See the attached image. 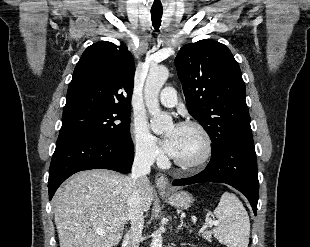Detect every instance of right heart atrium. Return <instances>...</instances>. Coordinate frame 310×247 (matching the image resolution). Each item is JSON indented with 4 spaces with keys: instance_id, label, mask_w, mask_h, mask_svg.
Instances as JSON below:
<instances>
[{
    "instance_id": "1",
    "label": "right heart atrium",
    "mask_w": 310,
    "mask_h": 247,
    "mask_svg": "<svg viewBox=\"0 0 310 247\" xmlns=\"http://www.w3.org/2000/svg\"><path fill=\"white\" fill-rule=\"evenodd\" d=\"M133 143L136 154L148 162L162 158L156 138L150 133L143 120H135L132 126Z\"/></svg>"
}]
</instances>
